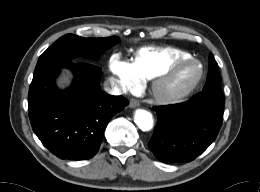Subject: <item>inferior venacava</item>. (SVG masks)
Masks as SVG:
<instances>
[{"instance_id":"obj_1","label":"inferior vena cava","mask_w":260,"mask_h":192,"mask_svg":"<svg viewBox=\"0 0 260 192\" xmlns=\"http://www.w3.org/2000/svg\"><path fill=\"white\" fill-rule=\"evenodd\" d=\"M104 90L111 95H122L127 92L126 87L114 77H110L104 82Z\"/></svg>"}]
</instances>
